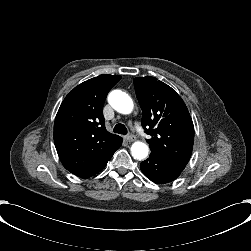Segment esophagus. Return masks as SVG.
Masks as SVG:
<instances>
[{"mask_svg": "<svg viewBox=\"0 0 251 251\" xmlns=\"http://www.w3.org/2000/svg\"><path fill=\"white\" fill-rule=\"evenodd\" d=\"M135 139H136L135 136L132 135V134L126 136V140H127L128 142H133V141H135Z\"/></svg>", "mask_w": 251, "mask_h": 251, "instance_id": "esophagus-1", "label": "esophagus"}]
</instances>
